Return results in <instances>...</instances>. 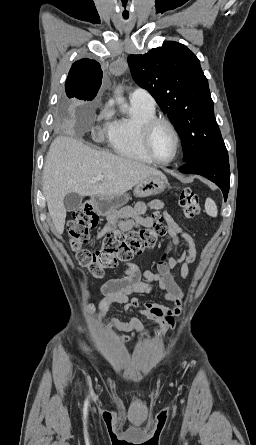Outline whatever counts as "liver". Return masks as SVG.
<instances>
[{"label": "liver", "instance_id": "liver-1", "mask_svg": "<svg viewBox=\"0 0 256 445\" xmlns=\"http://www.w3.org/2000/svg\"><path fill=\"white\" fill-rule=\"evenodd\" d=\"M99 175L104 176L102 182L95 181ZM153 175L163 174L143 163L92 149L72 136L56 137L44 163L43 192L57 233L64 231L67 194L122 195Z\"/></svg>", "mask_w": 256, "mask_h": 445}]
</instances>
